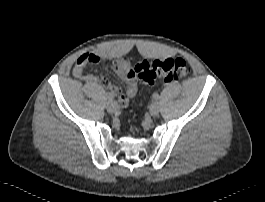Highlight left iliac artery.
<instances>
[{"label":"left iliac artery","mask_w":265,"mask_h":202,"mask_svg":"<svg viewBox=\"0 0 265 202\" xmlns=\"http://www.w3.org/2000/svg\"><path fill=\"white\" fill-rule=\"evenodd\" d=\"M153 99L158 100L159 99V95L157 93L153 94Z\"/></svg>","instance_id":"obj_1"}]
</instances>
